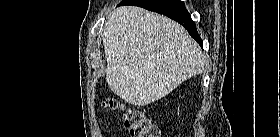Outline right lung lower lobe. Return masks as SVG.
I'll use <instances>...</instances> for the list:
<instances>
[{
    "label": "right lung lower lobe",
    "mask_w": 280,
    "mask_h": 137,
    "mask_svg": "<svg viewBox=\"0 0 280 137\" xmlns=\"http://www.w3.org/2000/svg\"><path fill=\"white\" fill-rule=\"evenodd\" d=\"M122 5H134L145 8L150 11H154L163 14L176 22L180 23L194 38L200 46L203 41L199 36L196 25L191 19L190 14L185 8V4L180 0H124L119 6Z\"/></svg>",
    "instance_id": "98d812e1"
}]
</instances>
